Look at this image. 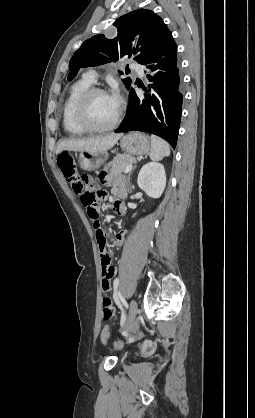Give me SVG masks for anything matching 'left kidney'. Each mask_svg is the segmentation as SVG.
Returning <instances> with one entry per match:
<instances>
[{
  "mask_svg": "<svg viewBox=\"0 0 255 418\" xmlns=\"http://www.w3.org/2000/svg\"><path fill=\"white\" fill-rule=\"evenodd\" d=\"M137 183L148 196L159 198L166 186L164 166L157 162L145 164L138 174Z\"/></svg>",
  "mask_w": 255,
  "mask_h": 418,
  "instance_id": "1",
  "label": "left kidney"
}]
</instances>
